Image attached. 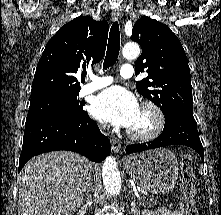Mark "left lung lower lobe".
Returning <instances> with one entry per match:
<instances>
[{
    "label": "left lung lower lobe",
    "mask_w": 221,
    "mask_h": 215,
    "mask_svg": "<svg viewBox=\"0 0 221 215\" xmlns=\"http://www.w3.org/2000/svg\"><path fill=\"white\" fill-rule=\"evenodd\" d=\"M167 145H185L196 150L204 163V149L197 131L194 117H172L166 119L163 132L152 142L129 145L127 153L142 152Z\"/></svg>",
    "instance_id": "0a47b994"
}]
</instances>
